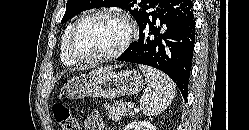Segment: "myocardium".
<instances>
[{
    "instance_id": "obj_1",
    "label": "myocardium",
    "mask_w": 249,
    "mask_h": 130,
    "mask_svg": "<svg viewBox=\"0 0 249 130\" xmlns=\"http://www.w3.org/2000/svg\"><path fill=\"white\" fill-rule=\"evenodd\" d=\"M95 16H107V17H115L123 20L128 28V33L124 41L120 44V46L115 49L112 52H109L107 54L103 55H97V56H82L75 52L74 50V40L75 36L77 34V31L80 27V25L87 20L88 18L95 17ZM137 36V28L132 20V18L120 11V10H113V9H97L89 11L85 14H83L80 18L76 20V22L73 24L72 29L70 31L68 40H67V53L70 56L71 59H73L75 62L80 63H99V62H105L109 61L115 58L120 57L131 45V43L134 41V39Z\"/></svg>"
}]
</instances>
